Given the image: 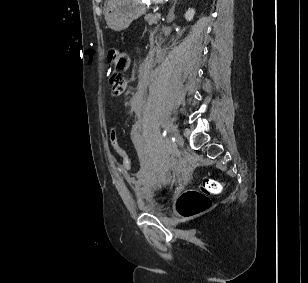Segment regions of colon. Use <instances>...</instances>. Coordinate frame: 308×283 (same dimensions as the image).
<instances>
[{"mask_svg":"<svg viewBox=\"0 0 308 283\" xmlns=\"http://www.w3.org/2000/svg\"><path fill=\"white\" fill-rule=\"evenodd\" d=\"M110 66L113 75L110 78V84L121 87L125 85L126 78L124 73L130 65L128 54L121 49L111 48L108 53ZM112 143L121 157L122 165L129 169L131 161L125 150L119 145L114 131L111 134ZM222 190V183L214 179H206L198 189H191L184 192L177 201L178 212L184 217H192L210 207V195L218 194Z\"/></svg>","mask_w":308,"mask_h":283,"instance_id":"obj_1","label":"colon"}]
</instances>
